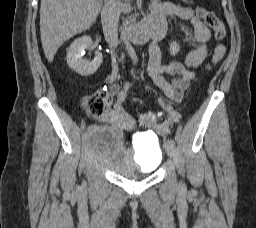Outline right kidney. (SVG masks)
Returning a JSON list of instances; mask_svg holds the SVG:
<instances>
[{
    "label": "right kidney",
    "mask_w": 256,
    "mask_h": 228,
    "mask_svg": "<svg viewBox=\"0 0 256 228\" xmlns=\"http://www.w3.org/2000/svg\"><path fill=\"white\" fill-rule=\"evenodd\" d=\"M87 48L93 49L92 39L89 36H83L76 39L67 51L68 66L81 76L94 74L103 60L102 53L99 51L95 52V57L91 62L84 60L82 56Z\"/></svg>",
    "instance_id": "right-kidney-1"
}]
</instances>
